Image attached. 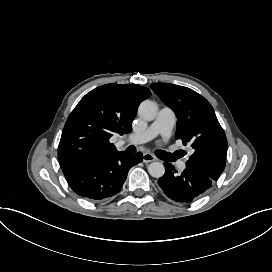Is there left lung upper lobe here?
<instances>
[{"label": "left lung upper lobe", "instance_id": "5c2ea615", "mask_svg": "<svg viewBox=\"0 0 272 272\" xmlns=\"http://www.w3.org/2000/svg\"><path fill=\"white\" fill-rule=\"evenodd\" d=\"M151 88L177 115L176 139L195 150L186 166L217 181L226 164L227 139L210 103L187 87L155 83Z\"/></svg>", "mask_w": 272, "mask_h": 272}]
</instances>
